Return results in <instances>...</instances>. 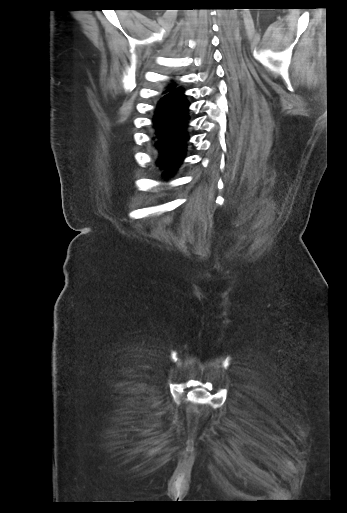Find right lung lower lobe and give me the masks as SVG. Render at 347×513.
Here are the masks:
<instances>
[{
    "label": "right lung lower lobe",
    "instance_id": "obj_1",
    "mask_svg": "<svg viewBox=\"0 0 347 513\" xmlns=\"http://www.w3.org/2000/svg\"><path fill=\"white\" fill-rule=\"evenodd\" d=\"M189 103L181 88L165 92L154 116V145L159 152L158 165L166 173L174 171L186 151Z\"/></svg>",
    "mask_w": 347,
    "mask_h": 513
}]
</instances>
